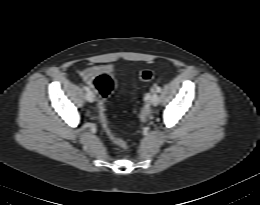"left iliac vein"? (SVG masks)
<instances>
[{
    "instance_id": "4c4485c4",
    "label": "left iliac vein",
    "mask_w": 260,
    "mask_h": 205,
    "mask_svg": "<svg viewBox=\"0 0 260 205\" xmlns=\"http://www.w3.org/2000/svg\"><path fill=\"white\" fill-rule=\"evenodd\" d=\"M149 102H150L151 105L157 106L159 104V102H160L159 95L156 92H153L151 94Z\"/></svg>"
}]
</instances>
